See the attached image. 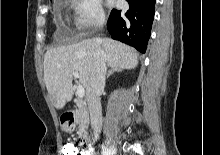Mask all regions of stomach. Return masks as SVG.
I'll list each match as a JSON object with an SVG mask.
<instances>
[{"label": "stomach", "instance_id": "0dacf381", "mask_svg": "<svg viewBox=\"0 0 220 155\" xmlns=\"http://www.w3.org/2000/svg\"><path fill=\"white\" fill-rule=\"evenodd\" d=\"M75 128V125L73 122H70V121H64L62 122L61 124V129L64 131V132H67V133H70L74 130Z\"/></svg>", "mask_w": 220, "mask_h": 155}]
</instances>
